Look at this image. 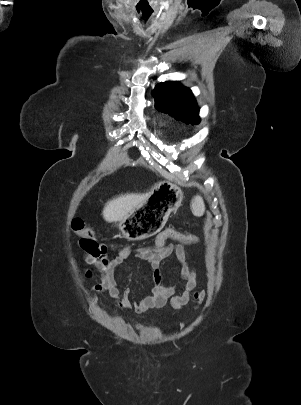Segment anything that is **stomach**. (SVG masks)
<instances>
[{
  "mask_svg": "<svg viewBox=\"0 0 301 405\" xmlns=\"http://www.w3.org/2000/svg\"><path fill=\"white\" fill-rule=\"evenodd\" d=\"M183 192L170 182H160L148 198L119 221L124 237L131 241L143 240L162 229L171 212L182 204Z\"/></svg>",
  "mask_w": 301,
  "mask_h": 405,
  "instance_id": "obj_1",
  "label": "stomach"
}]
</instances>
